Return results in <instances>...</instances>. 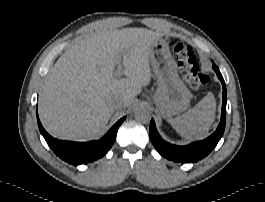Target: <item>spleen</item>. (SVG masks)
Wrapping results in <instances>:
<instances>
[{"instance_id":"obj_1","label":"spleen","mask_w":265,"mask_h":202,"mask_svg":"<svg viewBox=\"0 0 265 202\" xmlns=\"http://www.w3.org/2000/svg\"><path fill=\"white\" fill-rule=\"evenodd\" d=\"M215 110V98L211 93H208L192 109L183 115L170 118L168 122L185 139H202L207 136L214 121Z\"/></svg>"}]
</instances>
